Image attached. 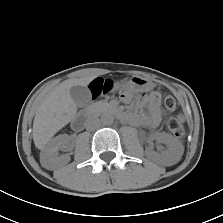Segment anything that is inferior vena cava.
<instances>
[{
  "label": "inferior vena cava",
  "mask_w": 223,
  "mask_h": 223,
  "mask_svg": "<svg viewBox=\"0 0 223 223\" xmlns=\"http://www.w3.org/2000/svg\"><path fill=\"white\" fill-rule=\"evenodd\" d=\"M100 125H101V122L98 118H92V119L87 121L86 129L90 130V131H93V130L98 129L100 127Z\"/></svg>",
  "instance_id": "602c4592"
}]
</instances>
